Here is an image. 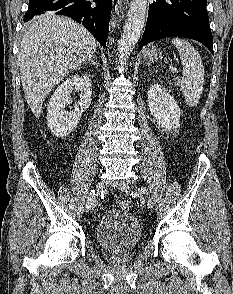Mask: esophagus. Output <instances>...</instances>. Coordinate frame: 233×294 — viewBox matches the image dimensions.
Listing matches in <instances>:
<instances>
[{
  "mask_svg": "<svg viewBox=\"0 0 233 294\" xmlns=\"http://www.w3.org/2000/svg\"><path fill=\"white\" fill-rule=\"evenodd\" d=\"M127 0H112V10L117 16H121L125 10Z\"/></svg>",
  "mask_w": 233,
  "mask_h": 294,
  "instance_id": "1",
  "label": "esophagus"
}]
</instances>
